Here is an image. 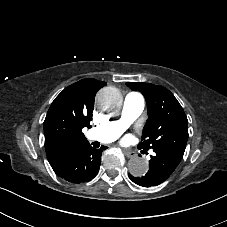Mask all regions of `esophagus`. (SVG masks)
I'll list each match as a JSON object with an SVG mask.
<instances>
[{"label":"esophagus","mask_w":227,"mask_h":227,"mask_svg":"<svg viewBox=\"0 0 227 227\" xmlns=\"http://www.w3.org/2000/svg\"><path fill=\"white\" fill-rule=\"evenodd\" d=\"M127 158H134L137 156L136 152L122 149Z\"/></svg>","instance_id":"1"}]
</instances>
